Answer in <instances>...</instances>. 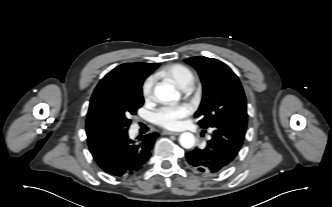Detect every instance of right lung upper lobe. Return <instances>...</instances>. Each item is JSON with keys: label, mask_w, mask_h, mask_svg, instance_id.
Returning a JSON list of instances; mask_svg holds the SVG:
<instances>
[{"label": "right lung upper lobe", "mask_w": 332, "mask_h": 207, "mask_svg": "<svg viewBox=\"0 0 332 207\" xmlns=\"http://www.w3.org/2000/svg\"><path fill=\"white\" fill-rule=\"evenodd\" d=\"M158 63H125L122 64L111 72H109L97 85L93 94L102 90L103 88L120 81H138L143 80L152 73L157 67Z\"/></svg>", "instance_id": "cb5924a9"}]
</instances>
